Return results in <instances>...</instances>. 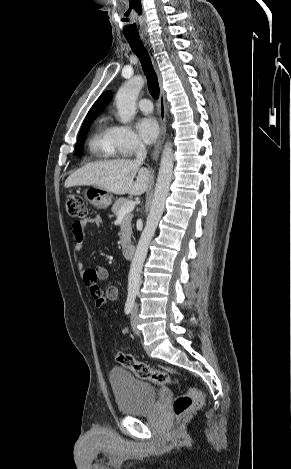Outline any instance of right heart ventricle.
<instances>
[{
	"label": "right heart ventricle",
	"mask_w": 291,
	"mask_h": 469,
	"mask_svg": "<svg viewBox=\"0 0 291 469\" xmlns=\"http://www.w3.org/2000/svg\"><path fill=\"white\" fill-rule=\"evenodd\" d=\"M89 151L96 158H112L116 155L111 143L110 127L103 117L96 122L89 140Z\"/></svg>",
	"instance_id": "right-heart-ventricle-1"
}]
</instances>
